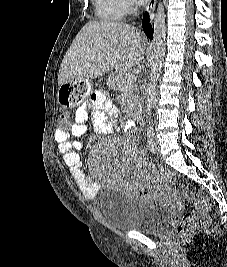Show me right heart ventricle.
<instances>
[{"mask_svg":"<svg viewBox=\"0 0 227 267\" xmlns=\"http://www.w3.org/2000/svg\"><path fill=\"white\" fill-rule=\"evenodd\" d=\"M97 16L103 21H118L124 15L120 0H94Z\"/></svg>","mask_w":227,"mask_h":267,"instance_id":"right-heart-ventricle-1","label":"right heart ventricle"}]
</instances>
